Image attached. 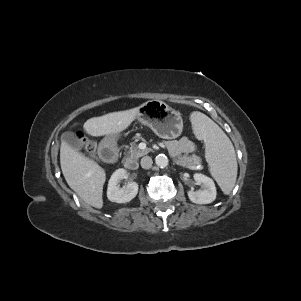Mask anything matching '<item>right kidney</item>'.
<instances>
[{
  "instance_id": "obj_1",
  "label": "right kidney",
  "mask_w": 301,
  "mask_h": 301,
  "mask_svg": "<svg viewBox=\"0 0 301 301\" xmlns=\"http://www.w3.org/2000/svg\"><path fill=\"white\" fill-rule=\"evenodd\" d=\"M128 177L125 169H117L111 176L108 189L107 198L111 202L127 203L130 202L138 193V184L136 182H129L126 187L120 188L119 182Z\"/></svg>"
}]
</instances>
